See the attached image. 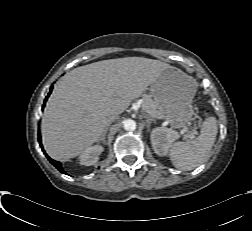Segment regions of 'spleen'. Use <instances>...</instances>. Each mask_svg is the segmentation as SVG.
<instances>
[{"instance_id":"obj_1","label":"spleen","mask_w":252,"mask_h":231,"mask_svg":"<svg viewBox=\"0 0 252 231\" xmlns=\"http://www.w3.org/2000/svg\"><path fill=\"white\" fill-rule=\"evenodd\" d=\"M218 133L217 120L208 117L201 126L200 135L186 142H176L170 146L172 164L180 170H193L205 161Z\"/></svg>"}]
</instances>
